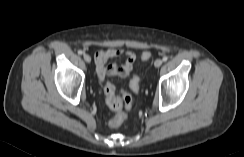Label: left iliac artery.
Listing matches in <instances>:
<instances>
[{
	"instance_id": "left-iliac-artery-1",
	"label": "left iliac artery",
	"mask_w": 244,
	"mask_h": 157,
	"mask_svg": "<svg viewBox=\"0 0 244 157\" xmlns=\"http://www.w3.org/2000/svg\"><path fill=\"white\" fill-rule=\"evenodd\" d=\"M164 62H166L168 60V57L167 56H164L163 59H162Z\"/></svg>"
}]
</instances>
